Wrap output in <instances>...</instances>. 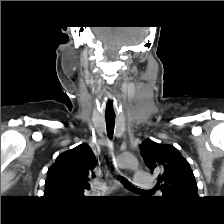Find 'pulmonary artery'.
I'll use <instances>...</instances> for the list:
<instances>
[{"mask_svg": "<svg viewBox=\"0 0 224 224\" xmlns=\"http://www.w3.org/2000/svg\"><path fill=\"white\" fill-rule=\"evenodd\" d=\"M133 184L137 188H142V189L151 188L153 186V177L147 172H136L133 179ZM117 185H119V181L113 180L110 182L109 185L103 184L100 187L104 191H110L112 188H114Z\"/></svg>", "mask_w": 224, "mask_h": 224, "instance_id": "1", "label": "pulmonary artery"}]
</instances>
